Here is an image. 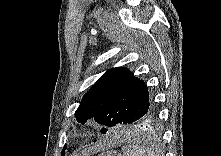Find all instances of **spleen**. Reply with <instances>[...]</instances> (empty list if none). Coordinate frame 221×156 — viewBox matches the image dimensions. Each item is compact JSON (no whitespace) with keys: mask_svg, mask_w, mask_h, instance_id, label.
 Here are the masks:
<instances>
[{"mask_svg":"<svg viewBox=\"0 0 221 156\" xmlns=\"http://www.w3.org/2000/svg\"><path fill=\"white\" fill-rule=\"evenodd\" d=\"M125 156H155V153L144 146H126L123 148Z\"/></svg>","mask_w":221,"mask_h":156,"instance_id":"obj_1","label":"spleen"}]
</instances>
